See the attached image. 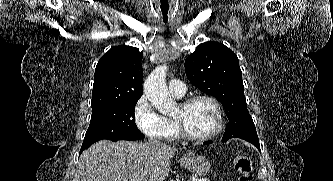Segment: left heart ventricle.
<instances>
[{"label": "left heart ventricle", "mask_w": 333, "mask_h": 181, "mask_svg": "<svg viewBox=\"0 0 333 181\" xmlns=\"http://www.w3.org/2000/svg\"><path fill=\"white\" fill-rule=\"evenodd\" d=\"M173 117L180 119L191 134L198 136L211 132L217 121L214 107L206 100H198L185 109L177 106Z\"/></svg>", "instance_id": "obj_1"}]
</instances>
